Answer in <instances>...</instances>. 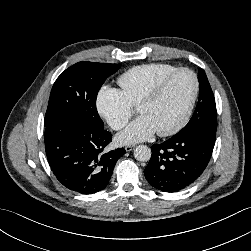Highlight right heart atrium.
Wrapping results in <instances>:
<instances>
[{
  "label": "right heart atrium",
  "instance_id": "d8ad5b80",
  "mask_svg": "<svg viewBox=\"0 0 251 251\" xmlns=\"http://www.w3.org/2000/svg\"><path fill=\"white\" fill-rule=\"evenodd\" d=\"M96 108L114 130L125 127L131 115V106L123 93L113 87L104 86L96 97Z\"/></svg>",
  "mask_w": 251,
  "mask_h": 251
}]
</instances>
